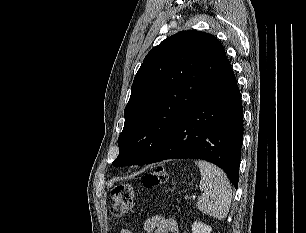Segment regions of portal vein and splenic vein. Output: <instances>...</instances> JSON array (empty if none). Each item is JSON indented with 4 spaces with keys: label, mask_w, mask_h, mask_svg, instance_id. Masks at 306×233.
Wrapping results in <instances>:
<instances>
[{
    "label": "portal vein and splenic vein",
    "mask_w": 306,
    "mask_h": 233,
    "mask_svg": "<svg viewBox=\"0 0 306 233\" xmlns=\"http://www.w3.org/2000/svg\"><path fill=\"white\" fill-rule=\"evenodd\" d=\"M192 198H195V196H194V195H192Z\"/></svg>",
    "instance_id": "obj_1"
}]
</instances>
